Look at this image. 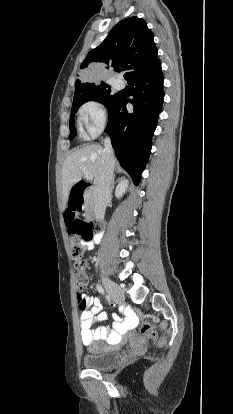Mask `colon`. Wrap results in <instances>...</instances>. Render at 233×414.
<instances>
[{
	"instance_id": "colon-1",
	"label": "colon",
	"mask_w": 233,
	"mask_h": 414,
	"mask_svg": "<svg viewBox=\"0 0 233 414\" xmlns=\"http://www.w3.org/2000/svg\"><path fill=\"white\" fill-rule=\"evenodd\" d=\"M66 223L69 231L74 235H79L82 241H90L94 231L98 228L96 224L84 223L80 218L78 212L68 211L66 214ZM71 257L75 261L76 275H75V286H76V299L78 306L80 300L85 299L84 290L88 285V276L86 274L87 263L84 260L85 248L82 243L73 241L71 244ZM140 333L149 338L155 339L156 332L154 326L150 322H144L140 326Z\"/></svg>"
}]
</instances>
